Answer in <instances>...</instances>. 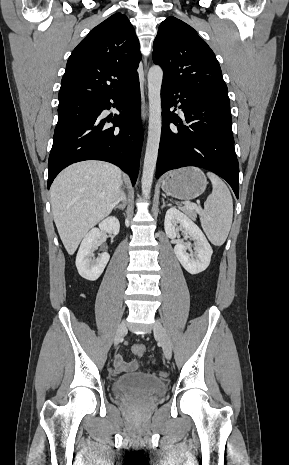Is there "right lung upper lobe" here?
<instances>
[{
    "instance_id": "right-lung-upper-lobe-1",
    "label": "right lung upper lobe",
    "mask_w": 289,
    "mask_h": 465,
    "mask_svg": "<svg viewBox=\"0 0 289 465\" xmlns=\"http://www.w3.org/2000/svg\"><path fill=\"white\" fill-rule=\"evenodd\" d=\"M139 41L126 15L116 13L93 28L70 55L59 105L97 101L138 78Z\"/></svg>"
}]
</instances>
